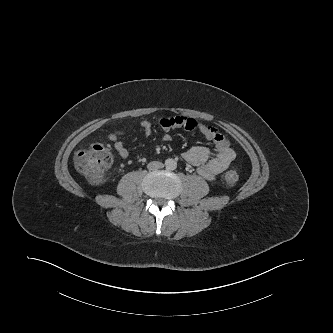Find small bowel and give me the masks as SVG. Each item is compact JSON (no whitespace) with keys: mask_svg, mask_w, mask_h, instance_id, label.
<instances>
[{"mask_svg":"<svg viewBox=\"0 0 333 333\" xmlns=\"http://www.w3.org/2000/svg\"><path fill=\"white\" fill-rule=\"evenodd\" d=\"M160 127L165 132L164 140H171L170 131L175 129H185L189 131H199L208 140L213 142L214 151L211 152L204 146H193L183 153L186 162L197 167L198 173L207 180H214L217 175L227 169L229 164L235 159L236 152L230 146L229 141L220 134L214 127L205 125L200 121L184 116L162 118L159 121ZM144 136L151 135L150 123L144 121L140 125ZM125 133L123 129H116L109 134V140L113 143L118 156L126 160L129 152L120 136Z\"/></svg>","mask_w":333,"mask_h":333,"instance_id":"c3829d8e","label":"small bowel"}]
</instances>
